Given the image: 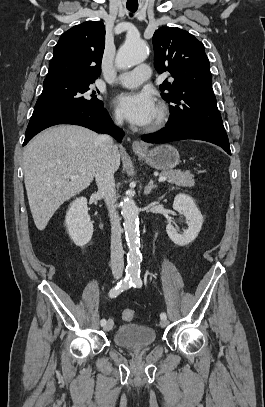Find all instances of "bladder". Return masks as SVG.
I'll list each match as a JSON object with an SVG mask.
<instances>
[{"instance_id": "bladder-1", "label": "bladder", "mask_w": 265, "mask_h": 407, "mask_svg": "<svg viewBox=\"0 0 265 407\" xmlns=\"http://www.w3.org/2000/svg\"><path fill=\"white\" fill-rule=\"evenodd\" d=\"M156 340L154 328L144 325H121L113 336L116 345L129 349H141L151 346Z\"/></svg>"}]
</instances>
